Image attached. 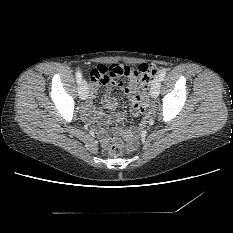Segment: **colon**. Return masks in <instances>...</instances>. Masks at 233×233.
<instances>
[{"instance_id": "5ec220e1", "label": "colon", "mask_w": 233, "mask_h": 233, "mask_svg": "<svg viewBox=\"0 0 233 233\" xmlns=\"http://www.w3.org/2000/svg\"><path fill=\"white\" fill-rule=\"evenodd\" d=\"M124 72L123 76H127L130 78H138L141 82L150 83L156 76L158 72V68L152 64H141L138 66H130V65H123ZM91 79L94 82H107L110 79V74L108 70L103 66H97L91 71ZM147 96L144 93L138 95V100L141 103L147 102ZM129 152L127 146L122 144H114L111 145L107 153L112 156H120L124 155Z\"/></svg>"}]
</instances>
